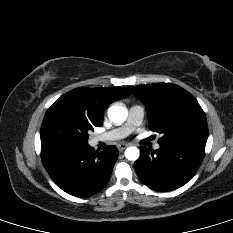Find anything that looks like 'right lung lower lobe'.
I'll use <instances>...</instances> for the list:
<instances>
[{
	"mask_svg": "<svg viewBox=\"0 0 233 233\" xmlns=\"http://www.w3.org/2000/svg\"><path fill=\"white\" fill-rule=\"evenodd\" d=\"M118 154L114 145L98 152L88 144H41L46 171L57 186L76 197L92 196L106 186Z\"/></svg>",
	"mask_w": 233,
	"mask_h": 233,
	"instance_id": "1",
	"label": "right lung lower lobe"
}]
</instances>
